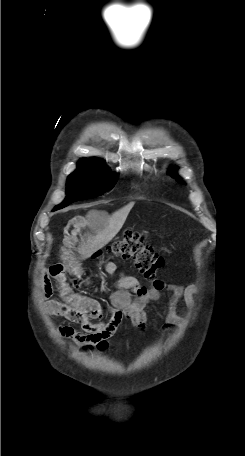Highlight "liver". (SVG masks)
<instances>
[{
    "instance_id": "6515ba94",
    "label": "liver",
    "mask_w": 245,
    "mask_h": 456,
    "mask_svg": "<svg viewBox=\"0 0 245 456\" xmlns=\"http://www.w3.org/2000/svg\"><path fill=\"white\" fill-rule=\"evenodd\" d=\"M134 204V202H130L120 210L113 213L108 218L102 230L98 231L95 235H88L86 240H81L78 252L80 253L82 260L89 258L95 251L102 249L116 236L124 225Z\"/></svg>"
}]
</instances>
